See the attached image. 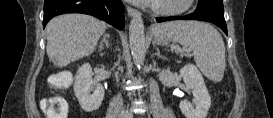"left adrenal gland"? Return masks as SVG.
<instances>
[{
    "mask_svg": "<svg viewBox=\"0 0 273 118\" xmlns=\"http://www.w3.org/2000/svg\"><path fill=\"white\" fill-rule=\"evenodd\" d=\"M155 55H157L158 57H161L159 50H157V53Z\"/></svg>",
    "mask_w": 273,
    "mask_h": 118,
    "instance_id": "obj_1",
    "label": "left adrenal gland"
}]
</instances>
